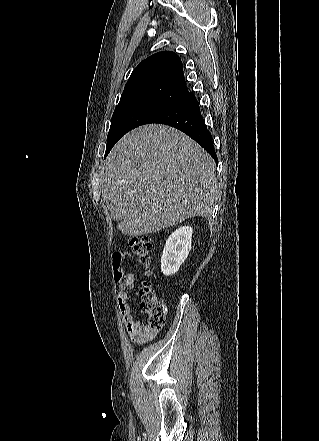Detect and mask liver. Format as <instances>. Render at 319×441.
I'll list each match as a JSON object with an SVG mask.
<instances>
[{"mask_svg":"<svg viewBox=\"0 0 319 441\" xmlns=\"http://www.w3.org/2000/svg\"><path fill=\"white\" fill-rule=\"evenodd\" d=\"M216 163L183 132L143 125L122 137L102 170V198L128 236L207 217L218 199Z\"/></svg>","mask_w":319,"mask_h":441,"instance_id":"1","label":"liver"}]
</instances>
